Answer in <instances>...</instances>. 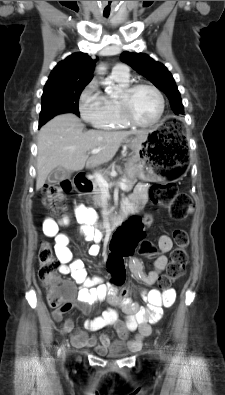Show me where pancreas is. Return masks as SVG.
Returning a JSON list of instances; mask_svg holds the SVG:
<instances>
[{
    "mask_svg": "<svg viewBox=\"0 0 225 395\" xmlns=\"http://www.w3.org/2000/svg\"><path fill=\"white\" fill-rule=\"evenodd\" d=\"M121 182H124L127 185L126 192H129L132 190L133 186L137 182L136 178H130L128 176H123L121 178ZM93 200H94V205L95 206H101V188L99 187L98 183L96 180H93Z\"/></svg>",
    "mask_w": 225,
    "mask_h": 395,
    "instance_id": "cf45deb5",
    "label": "pancreas"
}]
</instances>
